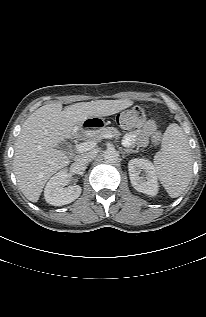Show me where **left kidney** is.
<instances>
[{"label": "left kidney", "instance_id": "obj_1", "mask_svg": "<svg viewBox=\"0 0 206 317\" xmlns=\"http://www.w3.org/2000/svg\"><path fill=\"white\" fill-rule=\"evenodd\" d=\"M132 186L141 193L154 196L158 193V182L154 165L145 159L135 158L128 163ZM144 172V175H141Z\"/></svg>", "mask_w": 206, "mask_h": 317}]
</instances>
